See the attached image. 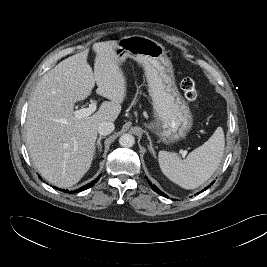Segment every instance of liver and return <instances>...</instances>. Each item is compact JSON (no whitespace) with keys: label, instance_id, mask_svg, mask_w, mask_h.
I'll list each match as a JSON object with an SVG mask.
<instances>
[{"label":"liver","instance_id":"obj_1","mask_svg":"<svg viewBox=\"0 0 267 267\" xmlns=\"http://www.w3.org/2000/svg\"><path fill=\"white\" fill-rule=\"evenodd\" d=\"M118 41L93 45L94 72L88 51L66 58L37 84L28 106L27 148L39 173L57 187L78 183L90 169L99 125L115 121L126 97V79L115 56ZM104 101L93 115L74 117L76 102L86 99L95 87Z\"/></svg>","mask_w":267,"mask_h":267}]
</instances>
